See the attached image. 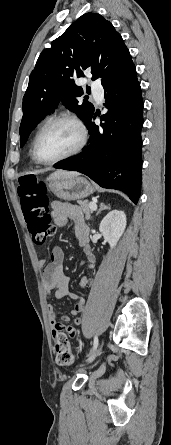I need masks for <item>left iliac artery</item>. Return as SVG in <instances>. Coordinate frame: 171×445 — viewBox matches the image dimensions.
I'll return each instance as SVG.
<instances>
[{
  "label": "left iliac artery",
  "mask_w": 171,
  "mask_h": 445,
  "mask_svg": "<svg viewBox=\"0 0 171 445\" xmlns=\"http://www.w3.org/2000/svg\"><path fill=\"white\" fill-rule=\"evenodd\" d=\"M97 346H98V337L95 336L94 341H93V348H92L91 352L95 351Z\"/></svg>",
  "instance_id": "left-iliac-artery-1"
}]
</instances>
